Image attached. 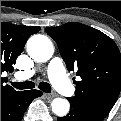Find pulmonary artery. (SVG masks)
Listing matches in <instances>:
<instances>
[{"instance_id": "1", "label": "pulmonary artery", "mask_w": 121, "mask_h": 121, "mask_svg": "<svg viewBox=\"0 0 121 121\" xmlns=\"http://www.w3.org/2000/svg\"><path fill=\"white\" fill-rule=\"evenodd\" d=\"M35 74L34 70L20 72V77L27 79ZM48 76L58 90L66 95H72L74 89L65 75L63 62L60 58H54L48 66Z\"/></svg>"}]
</instances>
